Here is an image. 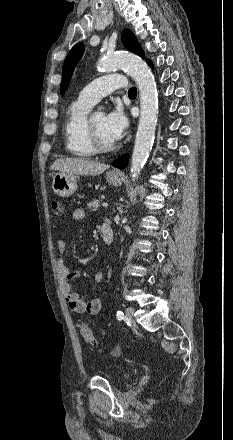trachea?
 Returning a JSON list of instances; mask_svg holds the SVG:
<instances>
[{
	"label": "trachea",
	"instance_id": "1",
	"mask_svg": "<svg viewBox=\"0 0 233 440\" xmlns=\"http://www.w3.org/2000/svg\"><path fill=\"white\" fill-rule=\"evenodd\" d=\"M136 94H137V90L135 87H132L129 89V91H128L129 96H136Z\"/></svg>",
	"mask_w": 233,
	"mask_h": 440
}]
</instances>
